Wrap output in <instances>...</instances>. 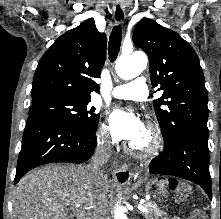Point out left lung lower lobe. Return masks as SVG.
Returning a JSON list of instances; mask_svg holds the SVG:
<instances>
[{
    "instance_id": "1",
    "label": "left lung lower lobe",
    "mask_w": 221,
    "mask_h": 219,
    "mask_svg": "<svg viewBox=\"0 0 221 219\" xmlns=\"http://www.w3.org/2000/svg\"><path fill=\"white\" fill-rule=\"evenodd\" d=\"M149 172L192 181L212 199L208 134L189 129L172 142L164 143L163 152L151 161Z\"/></svg>"
}]
</instances>
